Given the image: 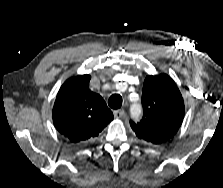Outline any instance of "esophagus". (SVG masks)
<instances>
[{
	"label": "esophagus",
	"instance_id": "esophagus-1",
	"mask_svg": "<svg viewBox=\"0 0 223 188\" xmlns=\"http://www.w3.org/2000/svg\"><path fill=\"white\" fill-rule=\"evenodd\" d=\"M113 113H114L115 118L118 119L124 116L125 111L123 109H118V110H115Z\"/></svg>",
	"mask_w": 223,
	"mask_h": 188
}]
</instances>
